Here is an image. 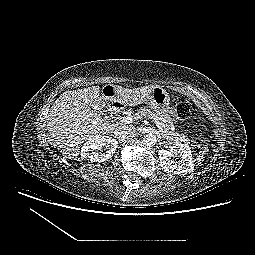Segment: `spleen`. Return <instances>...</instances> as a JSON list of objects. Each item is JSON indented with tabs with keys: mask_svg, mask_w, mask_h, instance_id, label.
Returning <instances> with one entry per match:
<instances>
[{
	"mask_svg": "<svg viewBox=\"0 0 255 255\" xmlns=\"http://www.w3.org/2000/svg\"><path fill=\"white\" fill-rule=\"evenodd\" d=\"M200 154H201V155H204V151H203V152H200ZM201 155L198 156V160H201V158L203 157V156H201Z\"/></svg>",
	"mask_w": 255,
	"mask_h": 255,
	"instance_id": "spleen-1",
	"label": "spleen"
}]
</instances>
